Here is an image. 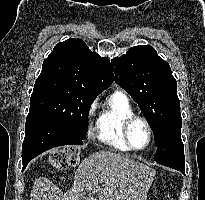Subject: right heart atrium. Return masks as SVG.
I'll list each match as a JSON object with an SVG mask.
<instances>
[{"label":"right heart atrium","mask_w":205,"mask_h":200,"mask_svg":"<svg viewBox=\"0 0 205 200\" xmlns=\"http://www.w3.org/2000/svg\"><path fill=\"white\" fill-rule=\"evenodd\" d=\"M97 109V100H94L91 102L89 108H88V112H87V117L88 120L90 121L91 117L93 116V114L95 113ZM88 133L91 134V129H88Z\"/></svg>","instance_id":"1"}]
</instances>
